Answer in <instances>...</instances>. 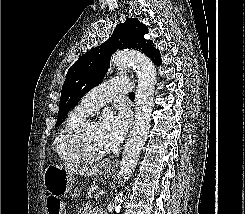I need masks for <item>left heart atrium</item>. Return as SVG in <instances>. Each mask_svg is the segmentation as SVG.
I'll return each instance as SVG.
<instances>
[{"label": "left heart atrium", "mask_w": 245, "mask_h": 214, "mask_svg": "<svg viewBox=\"0 0 245 214\" xmlns=\"http://www.w3.org/2000/svg\"><path fill=\"white\" fill-rule=\"evenodd\" d=\"M128 122L124 114H107L97 125L99 137L107 151L114 150L124 139Z\"/></svg>", "instance_id": "39dd6f15"}]
</instances>
